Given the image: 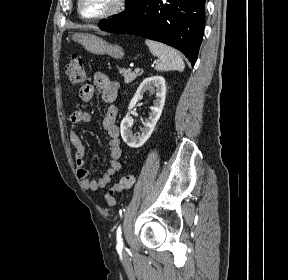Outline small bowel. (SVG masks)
I'll return each instance as SVG.
<instances>
[{"label": "small bowel", "instance_id": "c3829d8e", "mask_svg": "<svg viewBox=\"0 0 288 280\" xmlns=\"http://www.w3.org/2000/svg\"><path fill=\"white\" fill-rule=\"evenodd\" d=\"M98 89L104 102L108 105L102 120V127L108 135V161L109 167L98 179L89 177V170L86 168V150L85 146L76 132L79 125L90 122L91 114L87 111L74 110L70 115L72 129L70 132V142L75 149L76 173L81 181V186L85 190L97 191L104 188L111 182L112 178L121 169L120 157L122 154L120 146V132L116 124L117 107L114 102L117 97L119 84L112 81L102 72H96L93 76V84H86L80 88V98L87 102L92 99L95 90Z\"/></svg>", "mask_w": 288, "mask_h": 280}]
</instances>
